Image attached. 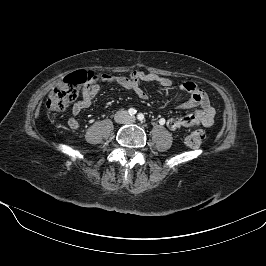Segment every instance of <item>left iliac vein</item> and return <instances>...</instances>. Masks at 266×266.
<instances>
[{
    "instance_id": "1",
    "label": "left iliac vein",
    "mask_w": 266,
    "mask_h": 266,
    "mask_svg": "<svg viewBox=\"0 0 266 266\" xmlns=\"http://www.w3.org/2000/svg\"><path fill=\"white\" fill-rule=\"evenodd\" d=\"M130 121H135V117H130Z\"/></svg>"
}]
</instances>
